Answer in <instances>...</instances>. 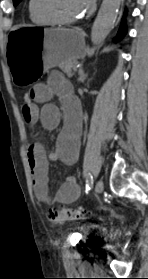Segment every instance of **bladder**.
I'll list each match as a JSON object with an SVG mask.
<instances>
[{
	"label": "bladder",
	"instance_id": "bladder-1",
	"mask_svg": "<svg viewBox=\"0 0 148 279\" xmlns=\"http://www.w3.org/2000/svg\"><path fill=\"white\" fill-rule=\"evenodd\" d=\"M82 232L84 233H102L103 229L97 225H84L81 227Z\"/></svg>",
	"mask_w": 148,
	"mask_h": 279
}]
</instances>
